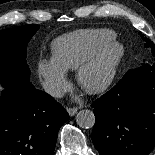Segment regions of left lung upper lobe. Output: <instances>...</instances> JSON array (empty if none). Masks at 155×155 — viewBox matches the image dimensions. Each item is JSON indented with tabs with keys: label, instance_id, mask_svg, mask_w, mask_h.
<instances>
[{
	"label": "left lung upper lobe",
	"instance_id": "left-lung-upper-lobe-1",
	"mask_svg": "<svg viewBox=\"0 0 155 155\" xmlns=\"http://www.w3.org/2000/svg\"><path fill=\"white\" fill-rule=\"evenodd\" d=\"M139 34L141 35V33H139ZM142 39L147 43V45L145 44L146 47H149L151 49L153 56H155V44L143 36H142ZM143 64H145V63H143Z\"/></svg>",
	"mask_w": 155,
	"mask_h": 155
}]
</instances>
